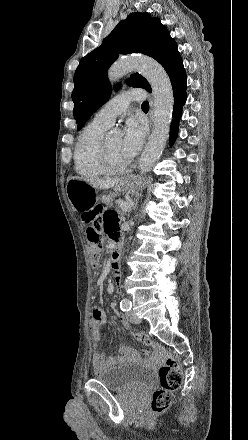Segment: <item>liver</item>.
Returning a JSON list of instances; mask_svg holds the SVG:
<instances>
[{"mask_svg": "<svg viewBox=\"0 0 248 440\" xmlns=\"http://www.w3.org/2000/svg\"><path fill=\"white\" fill-rule=\"evenodd\" d=\"M72 179L83 180V181L89 183L92 187L99 188V189H109V188H112L121 182L120 178H113V179H110V178H108V179L90 178V179H86V178H81V177H73Z\"/></svg>", "mask_w": 248, "mask_h": 440, "instance_id": "1", "label": "liver"}]
</instances>
